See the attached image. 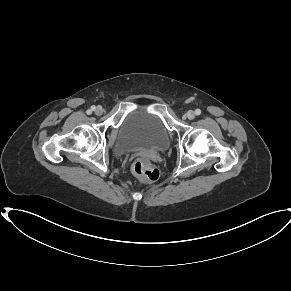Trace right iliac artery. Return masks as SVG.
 <instances>
[{"instance_id": "1", "label": "right iliac artery", "mask_w": 291, "mask_h": 291, "mask_svg": "<svg viewBox=\"0 0 291 291\" xmlns=\"http://www.w3.org/2000/svg\"><path fill=\"white\" fill-rule=\"evenodd\" d=\"M92 110H95V106H92V107H91V110H88V111H87V114H91V113H92Z\"/></svg>"}]
</instances>
